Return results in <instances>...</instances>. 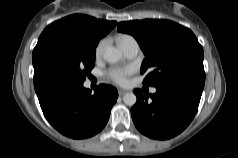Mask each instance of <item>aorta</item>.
Here are the masks:
<instances>
[{
  "mask_svg": "<svg viewBox=\"0 0 238 158\" xmlns=\"http://www.w3.org/2000/svg\"><path fill=\"white\" fill-rule=\"evenodd\" d=\"M103 57L108 63H116L121 59L122 53L115 47H107L104 49ZM123 101L126 105L133 106L136 103L137 98L133 92H129L123 96Z\"/></svg>",
  "mask_w": 238,
  "mask_h": 158,
  "instance_id": "obj_1",
  "label": "aorta"
}]
</instances>
